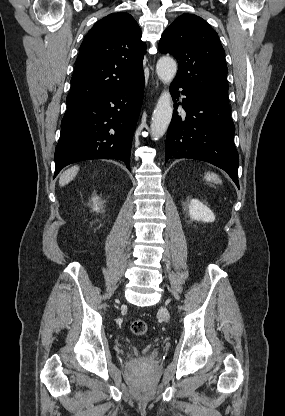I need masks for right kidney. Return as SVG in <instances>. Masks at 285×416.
I'll return each instance as SVG.
<instances>
[{
	"mask_svg": "<svg viewBox=\"0 0 285 416\" xmlns=\"http://www.w3.org/2000/svg\"><path fill=\"white\" fill-rule=\"evenodd\" d=\"M96 200H98V198H93V202H95L94 210H99Z\"/></svg>",
	"mask_w": 285,
	"mask_h": 416,
	"instance_id": "1",
	"label": "right kidney"
}]
</instances>
